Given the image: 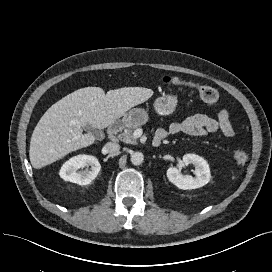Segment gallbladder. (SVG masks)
<instances>
[{
	"label": "gallbladder",
	"mask_w": 272,
	"mask_h": 272,
	"mask_svg": "<svg viewBox=\"0 0 272 272\" xmlns=\"http://www.w3.org/2000/svg\"><path fill=\"white\" fill-rule=\"evenodd\" d=\"M84 129H85L86 131H88V132L93 133V134H96V135L99 134V132L96 131L95 129H93L90 125H87L86 127H84Z\"/></svg>",
	"instance_id": "1"
}]
</instances>
